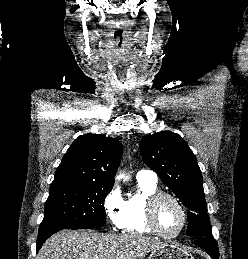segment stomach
<instances>
[{"mask_svg":"<svg viewBox=\"0 0 248 259\" xmlns=\"http://www.w3.org/2000/svg\"><path fill=\"white\" fill-rule=\"evenodd\" d=\"M148 259H194L191 253L172 244L153 250Z\"/></svg>","mask_w":248,"mask_h":259,"instance_id":"stomach-1","label":"stomach"}]
</instances>
